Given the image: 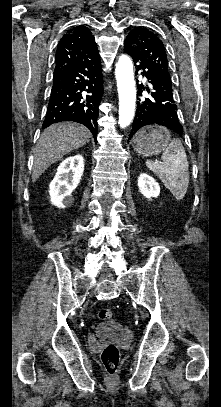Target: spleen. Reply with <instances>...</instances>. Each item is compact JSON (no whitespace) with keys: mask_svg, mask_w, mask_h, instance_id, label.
Wrapping results in <instances>:
<instances>
[{"mask_svg":"<svg viewBox=\"0 0 221 407\" xmlns=\"http://www.w3.org/2000/svg\"><path fill=\"white\" fill-rule=\"evenodd\" d=\"M161 158V164L147 160L146 166L160 178L177 200L183 199L189 185V164L181 141L175 138L171 140Z\"/></svg>","mask_w":221,"mask_h":407,"instance_id":"obj_1","label":"spleen"}]
</instances>
